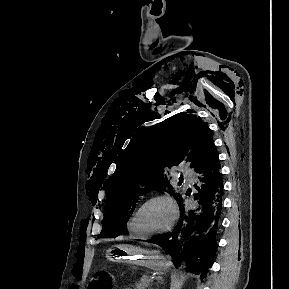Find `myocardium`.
Wrapping results in <instances>:
<instances>
[{"mask_svg":"<svg viewBox=\"0 0 289 289\" xmlns=\"http://www.w3.org/2000/svg\"><path fill=\"white\" fill-rule=\"evenodd\" d=\"M155 200H162L165 201L169 204L171 211H172V218L170 223L163 229L161 230H157V231H153V232H144L142 231L139 227H138V216L140 214V212L142 211V209L149 204L152 201ZM178 207L176 202L174 201V199L167 195V194H154L149 196L148 198H146L138 207L137 209L134 211L133 215H132V225L134 227V229L142 236V237H152V236H158V235H162V234H166L169 231H171V229L174 227L177 219H178Z\"/></svg>","mask_w":289,"mask_h":289,"instance_id":"1","label":"myocardium"}]
</instances>
